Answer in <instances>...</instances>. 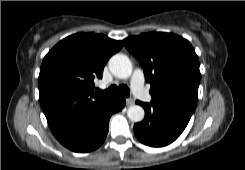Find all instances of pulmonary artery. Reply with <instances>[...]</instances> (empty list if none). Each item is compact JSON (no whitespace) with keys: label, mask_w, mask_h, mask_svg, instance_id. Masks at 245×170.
Segmentation results:
<instances>
[{"label":"pulmonary artery","mask_w":245,"mask_h":170,"mask_svg":"<svg viewBox=\"0 0 245 170\" xmlns=\"http://www.w3.org/2000/svg\"><path fill=\"white\" fill-rule=\"evenodd\" d=\"M144 73L141 69L137 68L131 79V87L134 94H136L140 99H146V90L144 87Z\"/></svg>","instance_id":"e3ab8cb5"}]
</instances>
